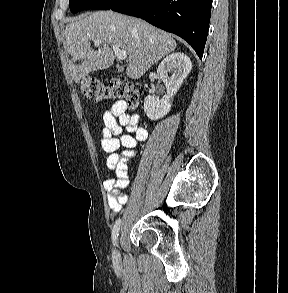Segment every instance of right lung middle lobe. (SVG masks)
<instances>
[{"instance_id": "dd1d6c3e", "label": "right lung middle lobe", "mask_w": 288, "mask_h": 293, "mask_svg": "<svg viewBox=\"0 0 288 293\" xmlns=\"http://www.w3.org/2000/svg\"><path fill=\"white\" fill-rule=\"evenodd\" d=\"M69 7L72 13L86 9L108 10L123 0H69Z\"/></svg>"}]
</instances>
